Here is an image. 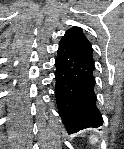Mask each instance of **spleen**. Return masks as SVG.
<instances>
[{"instance_id": "3e777b00", "label": "spleen", "mask_w": 124, "mask_h": 149, "mask_svg": "<svg viewBox=\"0 0 124 149\" xmlns=\"http://www.w3.org/2000/svg\"><path fill=\"white\" fill-rule=\"evenodd\" d=\"M92 141H94V142L97 141V138H92Z\"/></svg>"}]
</instances>
